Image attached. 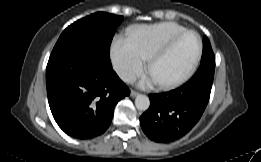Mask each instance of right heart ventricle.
I'll return each mask as SVG.
<instances>
[{"label": "right heart ventricle", "instance_id": "obj_1", "mask_svg": "<svg viewBox=\"0 0 261 162\" xmlns=\"http://www.w3.org/2000/svg\"><path fill=\"white\" fill-rule=\"evenodd\" d=\"M183 30L185 27L175 22L138 25L129 30L128 39L136 52L147 59L167 39Z\"/></svg>", "mask_w": 261, "mask_h": 162}]
</instances>
